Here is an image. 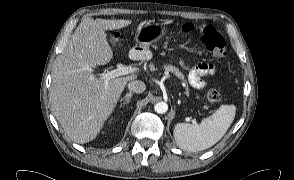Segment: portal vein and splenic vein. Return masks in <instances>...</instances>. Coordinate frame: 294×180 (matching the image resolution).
Masks as SVG:
<instances>
[{"instance_id":"1","label":"portal vein and splenic vein","mask_w":294,"mask_h":180,"mask_svg":"<svg viewBox=\"0 0 294 180\" xmlns=\"http://www.w3.org/2000/svg\"><path fill=\"white\" fill-rule=\"evenodd\" d=\"M137 71V68L131 66H125L123 64H118L117 68L111 71L104 72L100 74V78L104 80L107 84L109 80L114 79L119 76L128 75Z\"/></svg>"}]
</instances>
